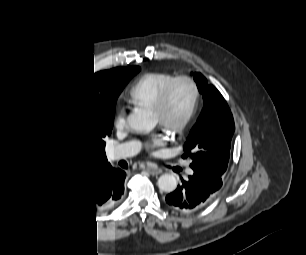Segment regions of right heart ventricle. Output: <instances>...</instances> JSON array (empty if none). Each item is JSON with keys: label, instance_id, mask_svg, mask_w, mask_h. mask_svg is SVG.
<instances>
[{"label": "right heart ventricle", "instance_id": "obj_1", "mask_svg": "<svg viewBox=\"0 0 306 255\" xmlns=\"http://www.w3.org/2000/svg\"><path fill=\"white\" fill-rule=\"evenodd\" d=\"M177 76L168 72H150L133 86L131 95L137 105L152 106L159 93Z\"/></svg>", "mask_w": 306, "mask_h": 255}]
</instances>
